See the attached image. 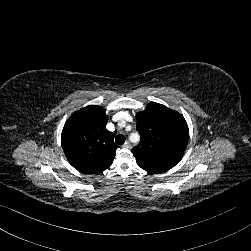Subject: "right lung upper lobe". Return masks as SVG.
<instances>
[{
    "instance_id": "obj_1",
    "label": "right lung upper lobe",
    "mask_w": 251,
    "mask_h": 251,
    "mask_svg": "<svg viewBox=\"0 0 251 251\" xmlns=\"http://www.w3.org/2000/svg\"><path fill=\"white\" fill-rule=\"evenodd\" d=\"M108 117L98 105L72 114L65 123L61 145L70 164L81 173L97 174L109 168L118 146L106 129Z\"/></svg>"
}]
</instances>
